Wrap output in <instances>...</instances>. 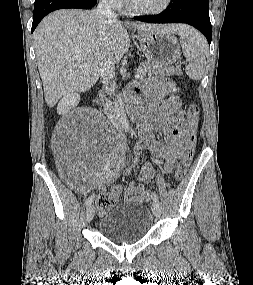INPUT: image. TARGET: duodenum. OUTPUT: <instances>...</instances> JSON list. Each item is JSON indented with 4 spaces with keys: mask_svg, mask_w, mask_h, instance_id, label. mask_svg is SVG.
Wrapping results in <instances>:
<instances>
[{
    "mask_svg": "<svg viewBox=\"0 0 253 285\" xmlns=\"http://www.w3.org/2000/svg\"><path fill=\"white\" fill-rule=\"evenodd\" d=\"M97 103V101H95ZM126 111L128 116L133 121H140V113H139V100L133 96H130L127 101Z\"/></svg>",
    "mask_w": 253,
    "mask_h": 285,
    "instance_id": "1",
    "label": "duodenum"
}]
</instances>
